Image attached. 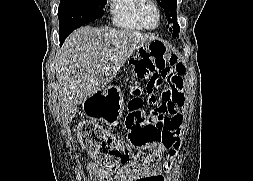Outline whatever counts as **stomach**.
Instances as JSON below:
<instances>
[{"mask_svg":"<svg viewBox=\"0 0 253 181\" xmlns=\"http://www.w3.org/2000/svg\"><path fill=\"white\" fill-rule=\"evenodd\" d=\"M83 112L90 119L117 122L122 114V100L118 87L100 90L83 101Z\"/></svg>","mask_w":253,"mask_h":181,"instance_id":"0dacf381","label":"stomach"}]
</instances>
